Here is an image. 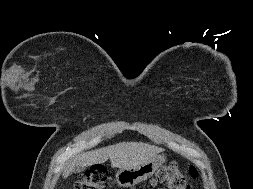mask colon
I'll return each mask as SVG.
<instances>
[{
    "mask_svg": "<svg viewBox=\"0 0 253 189\" xmlns=\"http://www.w3.org/2000/svg\"><path fill=\"white\" fill-rule=\"evenodd\" d=\"M190 174L195 177L197 172L194 167L190 168ZM107 170L102 165L92 166L83 173L75 182L74 189H106ZM152 184H166L170 189H190V183L177 167L171 163L158 169L155 177L151 180Z\"/></svg>",
    "mask_w": 253,
    "mask_h": 189,
    "instance_id": "obj_1",
    "label": "colon"
}]
</instances>
